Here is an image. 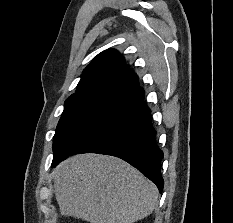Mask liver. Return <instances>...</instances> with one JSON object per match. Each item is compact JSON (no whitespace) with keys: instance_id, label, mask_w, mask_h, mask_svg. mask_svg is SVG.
<instances>
[{"instance_id":"1","label":"liver","mask_w":233,"mask_h":223,"mask_svg":"<svg viewBox=\"0 0 233 223\" xmlns=\"http://www.w3.org/2000/svg\"><path fill=\"white\" fill-rule=\"evenodd\" d=\"M62 215L88 223H134L152 213L158 189L138 169L99 153H77L52 171Z\"/></svg>"}]
</instances>
